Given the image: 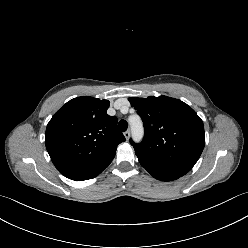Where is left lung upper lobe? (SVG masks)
Instances as JSON below:
<instances>
[{"mask_svg": "<svg viewBox=\"0 0 248 248\" xmlns=\"http://www.w3.org/2000/svg\"><path fill=\"white\" fill-rule=\"evenodd\" d=\"M128 100L144 123L143 141L131 140L140 164L161 174L181 177L188 173L205 145L204 125L197 113L167 96Z\"/></svg>", "mask_w": 248, "mask_h": 248, "instance_id": "1", "label": "left lung upper lobe"}]
</instances>
